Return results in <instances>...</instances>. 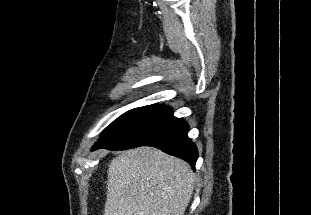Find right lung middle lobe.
<instances>
[{
    "instance_id": "dd1d6c3e",
    "label": "right lung middle lobe",
    "mask_w": 311,
    "mask_h": 215,
    "mask_svg": "<svg viewBox=\"0 0 311 215\" xmlns=\"http://www.w3.org/2000/svg\"><path fill=\"white\" fill-rule=\"evenodd\" d=\"M156 107L157 104L139 107L121 115L104 130L98 142L95 143V145L92 147V151L104 148L123 138L132 128H134Z\"/></svg>"
}]
</instances>
